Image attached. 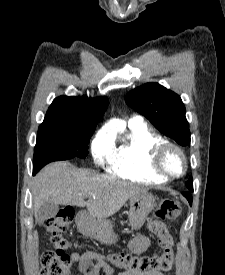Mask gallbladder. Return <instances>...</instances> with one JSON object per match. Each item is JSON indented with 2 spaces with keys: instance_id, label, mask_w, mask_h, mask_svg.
Segmentation results:
<instances>
[{
  "instance_id": "1",
  "label": "gallbladder",
  "mask_w": 225,
  "mask_h": 275,
  "mask_svg": "<svg viewBox=\"0 0 225 275\" xmlns=\"http://www.w3.org/2000/svg\"><path fill=\"white\" fill-rule=\"evenodd\" d=\"M59 210V206L54 203L46 202L44 203L38 212V221L40 224L44 223L48 219L54 217Z\"/></svg>"
}]
</instances>
